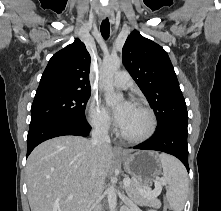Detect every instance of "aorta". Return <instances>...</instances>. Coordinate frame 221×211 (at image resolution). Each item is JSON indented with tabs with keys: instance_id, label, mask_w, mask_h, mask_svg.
Returning a JSON list of instances; mask_svg holds the SVG:
<instances>
[{
	"instance_id": "762f6f07",
	"label": "aorta",
	"mask_w": 221,
	"mask_h": 211,
	"mask_svg": "<svg viewBox=\"0 0 221 211\" xmlns=\"http://www.w3.org/2000/svg\"><path fill=\"white\" fill-rule=\"evenodd\" d=\"M121 64L122 60L119 57H110L103 61L100 73V84L104 91L106 103L109 106L116 105L123 101V95L121 93H116L113 87V76L120 68ZM114 182L115 179H111V185L108 188V204L110 211H115L117 205L116 187Z\"/></svg>"
}]
</instances>
